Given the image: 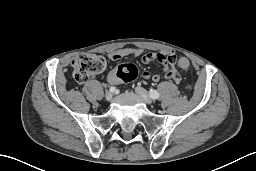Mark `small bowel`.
Here are the masks:
<instances>
[{
	"label": "small bowel",
	"instance_id": "obj_1",
	"mask_svg": "<svg viewBox=\"0 0 256 171\" xmlns=\"http://www.w3.org/2000/svg\"><path fill=\"white\" fill-rule=\"evenodd\" d=\"M127 56H133L140 58L143 63H149L153 60H158L163 64V73L152 74L150 71L145 70L142 73L144 79H151L154 82H159L165 79H171L175 82H180L181 76L175 68V62L177 55L173 51L162 50L157 53H144L141 48L138 47H124L117 50H113L108 54V58L113 61L120 60ZM107 81L110 84H118L119 78L117 77L116 70L109 72Z\"/></svg>",
	"mask_w": 256,
	"mask_h": 171
}]
</instances>
